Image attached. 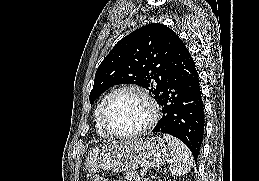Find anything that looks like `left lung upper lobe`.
<instances>
[{
    "mask_svg": "<svg viewBox=\"0 0 259 181\" xmlns=\"http://www.w3.org/2000/svg\"><path fill=\"white\" fill-rule=\"evenodd\" d=\"M176 33L151 23L122 38L99 65L89 99L92 104L110 87L132 83L148 89L155 100L173 68Z\"/></svg>",
    "mask_w": 259,
    "mask_h": 181,
    "instance_id": "1",
    "label": "left lung upper lobe"
}]
</instances>
